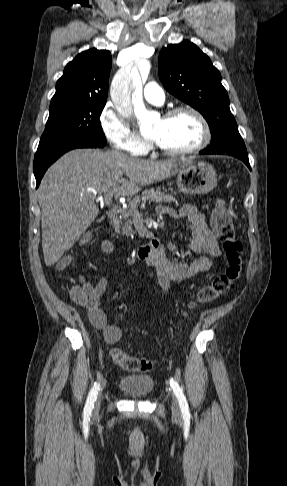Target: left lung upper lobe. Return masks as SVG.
<instances>
[{
  "mask_svg": "<svg viewBox=\"0 0 287 486\" xmlns=\"http://www.w3.org/2000/svg\"><path fill=\"white\" fill-rule=\"evenodd\" d=\"M158 70L164 88L198 110L208 122L211 144L201 153L248 156L220 72L206 54L188 40L170 44L159 54Z\"/></svg>",
  "mask_w": 287,
  "mask_h": 486,
  "instance_id": "5c2ea615",
  "label": "left lung upper lobe"
}]
</instances>
